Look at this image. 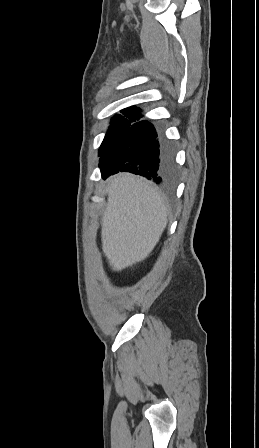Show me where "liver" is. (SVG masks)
Listing matches in <instances>:
<instances>
[{"label": "liver", "mask_w": 259, "mask_h": 448, "mask_svg": "<svg viewBox=\"0 0 259 448\" xmlns=\"http://www.w3.org/2000/svg\"><path fill=\"white\" fill-rule=\"evenodd\" d=\"M107 192L102 250L111 270L120 272L151 254L166 228L168 210L165 196L141 176H111Z\"/></svg>", "instance_id": "6515ba94"}]
</instances>
